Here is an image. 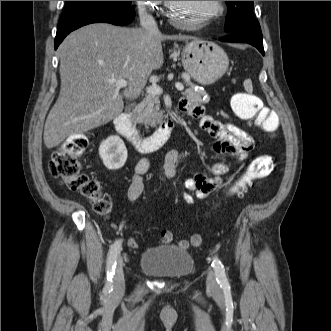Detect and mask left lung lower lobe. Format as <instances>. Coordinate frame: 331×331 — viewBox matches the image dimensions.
<instances>
[{
	"mask_svg": "<svg viewBox=\"0 0 331 331\" xmlns=\"http://www.w3.org/2000/svg\"><path fill=\"white\" fill-rule=\"evenodd\" d=\"M219 40L224 42L249 43L256 47L262 55H264L262 33L260 28L232 32Z\"/></svg>",
	"mask_w": 331,
	"mask_h": 331,
	"instance_id": "1",
	"label": "left lung lower lobe"
}]
</instances>
